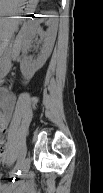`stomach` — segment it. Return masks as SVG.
<instances>
[{"instance_id": "stomach-1", "label": "stomach", "mask_w": 103, "mask_h": 193, "mask_svg": "<svg viewBox=\"0 0 103 193\" xmlns=\"http://www.w3.org/2000/svg\"><path fill=\"white\" fill-rule=\"evenodd\" d=\"M38 1L39 0H0L3 33L0 42L1 56H3L10 41V36L6 33H10L11 28L8 27L9 19L6 17L31 13L34 11Z\"/></svg>"}]
</instances>
